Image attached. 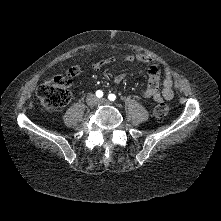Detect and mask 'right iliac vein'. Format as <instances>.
I'll return each instance as SVG.
<instances>
[{
  "mask_svg": "<svg viewBox=\"0 0 221 221\" xmlns=\"http://www.w3.org/2000/svg\"><path fill=\"white\" fill-rule=\"evenodd\" d=\"M97 103L96 98L93 95H90L88 98V104L94 106Z\"/></svg>",
  "mask_w": 221,
  "mask_h": 221,
  "instance_id": "obj_1",
  "label": "right iliac vein"
}]
</instances>
